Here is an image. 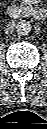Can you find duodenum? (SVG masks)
<instances>
[{
	"label": "duodenum",
	"instance_id": "duodenum-1",
	"mask_svg": "<svg viewBox=\"0 0 47 129\" xmlns=\"http://www.w3.org/2000/svg\"><path fill=\"white\" fill-rule=\"evenodd\" d=\"M7 13L11 18H23L29 15H33L37 19H43L46 15V12L41 7H28L20 5H10L7 8Z\"/></svg>",
	"mask_w": 47,
	"mask_h": 129
}]
</instances>
